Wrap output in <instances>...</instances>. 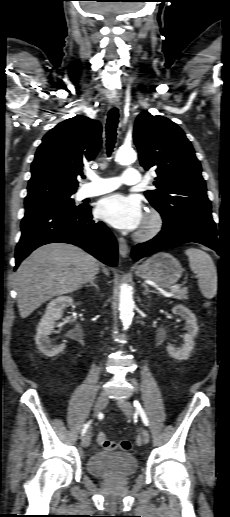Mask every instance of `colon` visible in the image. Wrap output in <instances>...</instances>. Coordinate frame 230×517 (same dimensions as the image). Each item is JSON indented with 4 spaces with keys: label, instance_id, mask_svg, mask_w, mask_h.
<instances>
[{
    "label": "colon",
    "instance_id": "colon-1",
    "mask_svg": "<svg viewBox=\"0 0 230 517\" xmlns=\"http://www.w3.org/2000/svg\"><path fill=\"white\" fill-rule=\"evenodd\" d=\"M98 444L106 450H113L119 448L122 451H129L131 449V443L128 440H122L118 443L110 440L104 433H99L97 435Z\"/></svg>",
    "mask_w": 230,
    "mask_h": 517
}]
</instances>
